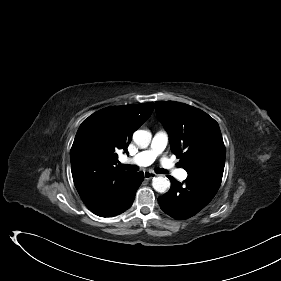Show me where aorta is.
<instances>
[{"label": "aorta", "mask_w": 281, "mask_h": 281, "mask_svg": "<svg viewBox=\"0 0 281 281\" xmlns=\"http://www.w3.org/2000/svg\"><path fill=\"white\" fill-rule=\"evenodd\" d=\"M152 134L147 130H137L133 134V140L140 148H146L151 142ZM152 186L159 193L166 192L170 187V182L166 177L158 176L153 178Z\"/></svg>", "instance_id": "aorta-1"}]
</instances>
